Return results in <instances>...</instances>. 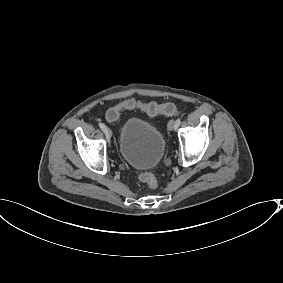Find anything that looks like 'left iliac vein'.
I'll list each match as a JSON object with an SVG mask.
<instances>
[{
    "label": "left iliac vein",
    "mask_w": 283,
    "mask_h": 283,
    "mask_svg": "<svg viewBox=\"0 0 283 283\" xmlns=\"http://www.w3.org/2000/svg\"><path fill=\"white\" fill-rule=\"evenodd\" d=\"M168 129L169 130H173L175 129V121L174 120H170L169 123H168Z\"/></svg>",
    "instance_id": "obj_1"
}]
</instances>
